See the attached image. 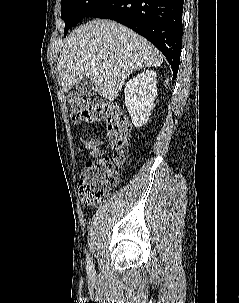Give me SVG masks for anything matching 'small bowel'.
<instances>
[{
    "mask_svg": "<svg viewBox=\"0 0 239 303\" xmlns=\"http://www.w3.org/2000/svg\"><path fill=\"white\" fill-rule=\"evenodd\" d=\"M84 145L91 156L96 157L104 154V150L100 147L101 143L98 140L85 141Z\"/></svg>",
    "mask_w": 239,
    "mask_h": 303,
    "instance_id": "obj_1",
    "label": "small bowel"
}]
</instances>
